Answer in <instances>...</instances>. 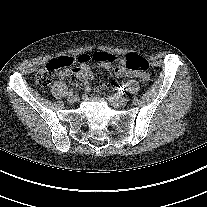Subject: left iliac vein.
I'll list each match as a JSON object with an SVG mask.
<instances>
[{
    "instance_id": "left-iliac-vein-1",
    "label": "left iliac vein",
    "mask_w": 207,
    "mask_h": 207,
    "mask_svg": "<svg viewBox=\"0 0 207 207\" xmlns=\"http://www.w3.org/2000/svg\"><path fill=\"white\" fill-rule=\"evenodd\" d=\"M107 100L113 107H123L127 104V100H124L122 97L117 95H109Z\"/></svg>"
}]
</instances>
